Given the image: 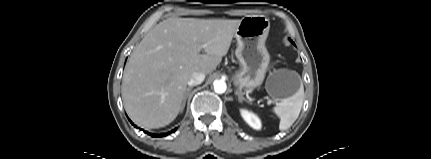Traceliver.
Here are the masks:
<instances>
[{
	"instance_id": "liver-1",
	"label": "liver",
	"mask_w": 431,
	"mask_h": 159,
	"mask_svg": "<svg viewBox=\"0 0 431 159\" xmlns=\"http://www.w3.org/2000/svg\"><path fill=\"white\" fill-rule=\"evenodd\" d=\"M240 21L168 18L150 30L123 77L124 107L133 122L144 128L170 124L181 110L191 74L216 69Z\"/></svg>"
}]
</instances>
